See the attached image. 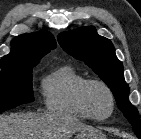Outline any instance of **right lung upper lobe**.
Returning a JSON list of instances; mask_svg holds the SVG:
<instances>
[{
  "label": "right lung upper lobe",
  "mask_w": 141,
  "mask_h": 139,
  "mask_svg": "<svg viewBox=\"0 0 141 139\" xmlns=\"http://www.w3.org/2000/svg\"><path fill=\"white\" fill-rule=\"evenodd\" d=\"M55 47V39L49 32L19 35L11 42L10 53L1 59V68L37 65Z\"/></svg>",
  "instance_id": "obj_1"
}]
</instances>
